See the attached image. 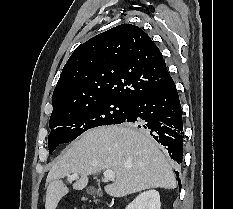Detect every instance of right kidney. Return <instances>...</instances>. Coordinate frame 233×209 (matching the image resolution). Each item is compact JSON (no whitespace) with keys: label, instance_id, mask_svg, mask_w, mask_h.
Instances as JSON below:
<instances>
[{"label":"right kidney","instance_id":"right-kidney-1","mask_svg":"<svg viewBox=\"0 0 233 209\" xmlns=\"http://www.w3.org/2000/svg\"><path fill=\"white\" fill-rule=\"evenodd\" d=\"M160 195L156 190H148L138 195L126 209H160Z\"/></svg>","mask_w":233,"mask_h":209}]
</instances>
